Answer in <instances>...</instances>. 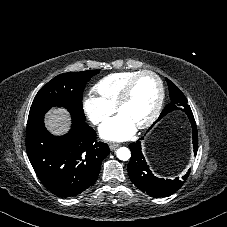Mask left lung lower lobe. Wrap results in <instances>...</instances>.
Instances as JSON below:
<instances>
[{"mask_svg": "<svg viewBox=\"0 0 227 227\" xmlns=\"http://www.w3.org/2000/svg\"><path fill=\"white\" fill-rule=\"evenodd\" d=\"M190 123L192 125V138L194 154L196 155L198 149V136H197V126L194 120V116H188ZM140 138L135 143L129 145L131 151V159L128 164V174L132 183L144 193L153 197H167L175 193L184 184L185 180L189 176L190 169L188 173L182 177V179L176 178L163 179L156 177L152 171L149 169L145 158L141 151V140Z\"/></svg>", "mask_w": 227, "mask_h": 227, "instance_id": "left-lung-lower-lobe-1", "label": "left lung lower lobe"}]
</instances>
